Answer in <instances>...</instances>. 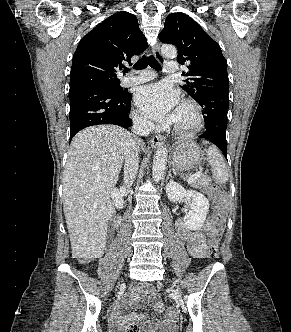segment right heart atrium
Masks as SVG:
<instances>
[{"mask_svg": "<svg viewBox=\"0 0 291 332\" xmlns=\"http://www.w3.org/2000/svg\"><path fill=\"white\" fill-rule=\"evenodd\" d=\"M134 121L140 125V126H148V122L146 119L139 113V112H134L133 114Z\"/></svg>", "mask_w": 291, "mask_h": 332, "instance_id": "right-heart-atrium-1", "label": "right heart atrium"}]
</instances>
